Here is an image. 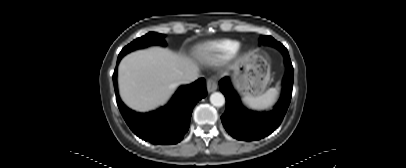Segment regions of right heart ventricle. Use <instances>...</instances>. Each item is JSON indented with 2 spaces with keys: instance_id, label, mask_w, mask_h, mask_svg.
<instances>
[{
  "instance_id": "obj_1",
  "label": "right heart ventricle",
  "mask_w": 406,
  "mask_h": 168,
  "mask_svg": "<svg viewBox=\"0 0 406 168\" xmlns=\"http://www.w3.org/2000/svg\"><path fill=\"white\" fill-rule=\"evenodd\" d=\"M239 48L238 41L226 39L200 45L196 49V54L210 60L227 59L234 56Z\"/></svg>"
}]
</instances>
